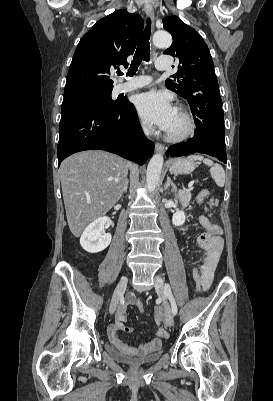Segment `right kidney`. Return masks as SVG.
Masks as SVG:
<instances>
[{
  "label": "right kidney",
  "mask_w": 273,
  "mask_h": 401,
  "mask_svg": "<svg viewBox=\"0 0 273 401\" xmlns=\"http://www.w3.org/2000/svg\"><path fill=\"white\" fill-rule=\"evenodd\" d=\"M105 225H112L109 217H100L86 227L83 235H81L80 245L87 253H100L104 251L111 243L110 233H102Z\"/></svg>",
  "instance_id": "obj_1"
}]
</instances>
